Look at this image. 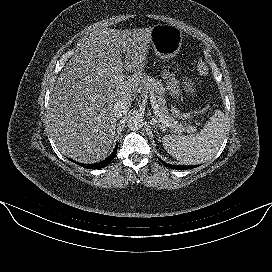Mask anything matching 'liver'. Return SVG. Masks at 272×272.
Returning <instances> with one entry per match:
<instances>
[{
    "instance_id": "6515ba94",
    "label": "liver",
    "mask_w": 272,
    "mask_h": 272,
    "mask_svg": "<svg viewBox=\"0 0 272 272\" xmlns=\"http://www.w3.org/2000/svg\"><path fill=\"white\" fill-rule=\"evenodd\" d=\"M152 29L93 31L66 64L48 112L53 139L64 155L81 163L107 156L117 122L113 106L131 104L143 84ZM124 69L133 73L128 80Z\"/></svg>"
}]
</instances>
